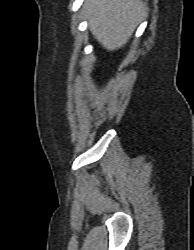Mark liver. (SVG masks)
Returning <instances> with one entry per match:
<instances>
[{
    "label": "liver",
    "mask_w": 194,
    "mask_h": 250,
    "mask_svg": "<svg viewBox=\"0 0 194 250\" xmlns=\"http://www.w3.org/2000/svg\"><path fill=\"white\" fill-rule=\"evenodd\" d=\"M145 10L140 0H86L83 5L92 35L109 51L128 42Z\"/></svg>",
    "instance_id": "obj_1"
}]
</instances>
